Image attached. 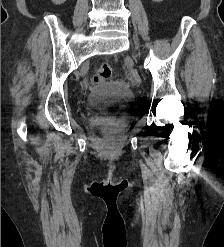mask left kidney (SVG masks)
I'll return each instance as SVG.
<instances>
[{
    "label": "left kidney",
    "instance_id": "obj_1",
    "mask_svg": "<svg viewBox=\"0 0 224 247\" xmlns=\"http://www.w3.org/2000/svg\"><path fill=\"white\" fill-rule=\"evenodd\" d=\"M153 2H163V0H153Z\"/></svg>",
    "mask_w": 224,
    "mask_h": 247
}]
</instances>
